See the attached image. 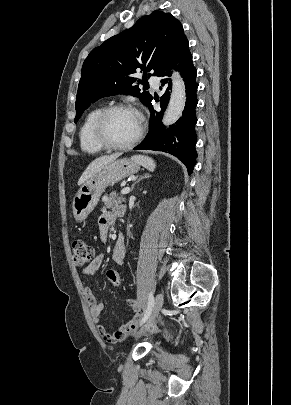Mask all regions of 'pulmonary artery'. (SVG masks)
Instances as JSON below:
<instances>
[{
	"label": "pulmonary artery",
	"mask_w": 291,
	"mask_h": 405,
	"mask_svg": "<svg viewBox=\"0 0 291 405\" xmlns=\"http://www.w3.org/2000/svg\"><path fill=\"white\" fill-rule=\"evenodd\" d=\"M151 85L153 86V88L157 89L159 86V79L156 76H151L149 79Z\"/></svg>",
	"instance_id": "e3ab8cb5"
}]
</instances>
